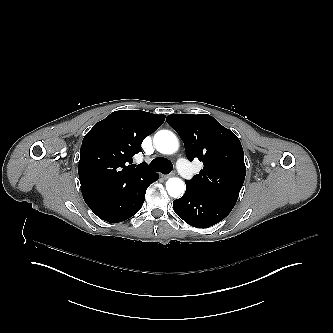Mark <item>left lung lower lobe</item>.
Wrapping results in <instances>:
<instances>
[{"instance_id":"obj_1","label":"left lung lower lobe","mask_w":333,"mask_h":333,"mask_svg":"<svg viewBox=\"0 0 333 333\" xmlns=\"http://www.w3.org/2000/svg\"><path fill=\"white\" fill-rule=\"evenodd\" d=\"M236 202L231 199L197 193L186 186L185 194L173 202L175 213L186 223L197 228H208L223 220Z\"/></svg>"}]
</instances>
